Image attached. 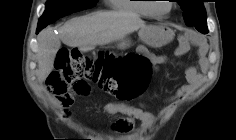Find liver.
I'll return each mask as SVG.
<instances>
[{
  "mask_svg": "<svg viewBox=\"0 0 236 140\" xmlns=\"http://www.w3.org/2000/svg\"><path fill=\"white\" fill-rule=\"evenodd\" d=\"M144 28L145 24L138 15L113 11H99L73 18L59 29L58 35L51 28H46L38 35L37 78L43 82L53 70L61 41L86 51L96 45L122 39L127 34Z\"/></svg>",
  "mask_w": 236,
  "mask_h": 140,
  "instance_id": "1",
  "label": "liver"
}]
</instances>
